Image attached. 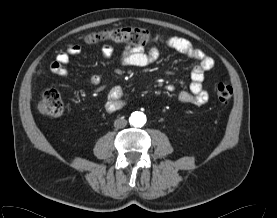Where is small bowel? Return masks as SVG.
<instances>
[{
  "mask_svg": "<svg viewBox=\"0 0 277 218\" xmlns=\"http://www.w3.org/2000/svg\"><path fill=\"white\" fill-rule=\"evenodd\" d=\"M160 39V38H157ZM168 47L180 52L190 59L198 62L191 72V82L188 91H182L179 94V100L182 103H191L195 105H203L208 101V94L203 89V81L205 74L213 68L214 61L207 56L202 50L195 48L190 41L178 36H170L165 39ZM82 52L79 45H71L67 50L57 54L55 60L50 64V71L61 77L69 75L68 64L71 57L78 56ZM101 55L105 59H110L114 55L113 48L110 45H104ZM160 52L157 46L151 47L147 52L141 49H125L120 55V62L125 66L142 67L155 62L159 58ZM88 83L96 86L100 83L97 75H92L87 79ZM172 86H169L171 88ZM122 96V90L114 87L110 92V98L116 100Z\"/></svg>",
  "mask_w": 277,
  "mask_h": 218,
  "instance_id": "obj_1",
  "label": "small bowel"
}]
</instances>
